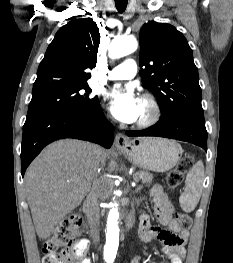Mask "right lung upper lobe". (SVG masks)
Masks as SVG:
<instances>
[{
    "instance_id": "obj_1",
    "label": "right lung upper lobe",
    "mask_w": 233,
    "mask_h": 263,
    "mask_svg": "<svg viewBox=\"0 0 233 263\" xmlns=\"http://www.w3.org/2000/svg\"><path fill=\"white\" fill-rule=\"evenodd\" d=\"M100 34L91 19H76L61 27L41 61L33 95L87 84L85 69L96 66Z\"/></svg>"
}]
</instances>
